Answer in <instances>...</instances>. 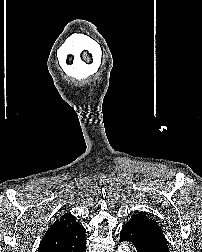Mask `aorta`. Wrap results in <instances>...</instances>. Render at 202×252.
Here are the masks:
<instances>
[{
	"instance_id": "1",
	"label": "aorta",
	"mask_w": 202,
	"mask_h": 252,
	"mask_svg": "<svg viewBox=\"0 0 202 252\" xmlns=\"http://www.w3.org/2000/svg\"><path fill=\"white\" fill-rule=\"evenodd\" d=\"M117 252H131V250L127 243H123L118 247Z\"/></svg>"
}]
</instances>
